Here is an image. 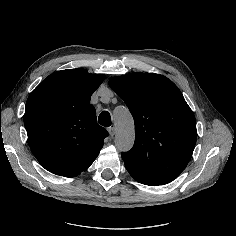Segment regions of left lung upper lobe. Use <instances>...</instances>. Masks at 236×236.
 Returning <instances> with one entry per match:
<instances>
[{
  "label": "left lung upper lobe",
  "mask_w": 236,
  "mask_h": 236,
  "mask_svg": "<svg viewBox=\"0 0 236 236\" xmlns=\"http://www.w3.org/2000/svg\"><path fill=\"white\" fill-rule=\"evenodd\" d=\"M109 85L135 123L134 146L122 152L125 166L160 184L173 181L191 159L197 138L194 114L181 91L155 73L113 77Z\"/></svg>",
  "instance_id": "1"
}]
</instances>
